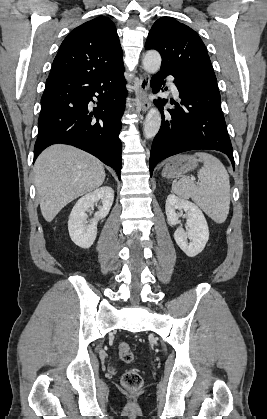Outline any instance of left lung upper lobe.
<instances>
[{
  "label": "left lung upper lobe",
  "instance_id": "left-lung-upper-lobe-1",
  "mask_svg": "<svg viewBox=\"0 0 267 419\" xmlns=\"http://www.w3.org/2000/svg\"><path fill=\"white\" fill-rule=\"evenodd\" d=\"M145 48L156 49L161 54V69L217 83L207 49L199 35L172 17H161L153 24Z\"/></svg>",
  "mask_w": 267,
  "mask_h": 419
}]
</instances>
